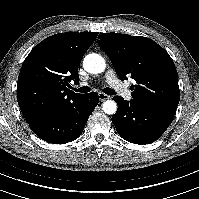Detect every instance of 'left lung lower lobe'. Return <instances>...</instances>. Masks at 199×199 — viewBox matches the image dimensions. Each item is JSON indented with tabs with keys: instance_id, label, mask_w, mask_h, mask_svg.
I'll return each mask as SVG.
<instances>
[{
	"instance_id": "obj_1",
	"label": "left lung lower lobe",
	"mask_w": 199,
	"mask_h": 199,
	"mask_svg": "<svg viewBox=\"0 0 199 199\" xmlns=\"http://www.w3.org/2000/svg\"><path fill=\"white\" fill-rule=\"evenodd\" d=\"M117 112L112 122L118 134L128 142L149 144L156 141L168 128L174 115L149 107L136 100L130 102L115 96Z\"/></svg>"
}]
</instances>
